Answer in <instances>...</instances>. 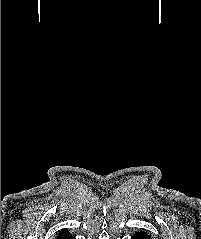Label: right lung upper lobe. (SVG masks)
<instances>
[{"instance_id": "right-lung-upper-lobe-1", "label": "right lung upper lobe", "mask_w": 201, "mask_h": 239, "mask_svg": "<svg viewBox=\"0 0 201 239\" xmlns=\"http://www.w3.org/2000/svg\"><path fill=\"white\" fill-rule=\"evenodd\" d=\"M69 235H71V234L67 230H61L58 234V237H66ZM57 239H60V238H57Z\"/></svg>"}]
</instances>
